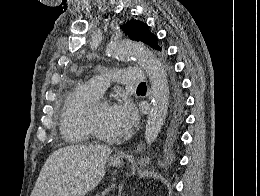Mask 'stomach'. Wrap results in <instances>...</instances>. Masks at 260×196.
<instances>
[{"label":"stomach","mask_w":260,"mask_h":196,"mask_svg":"<svg viewBox=\"0 0 260 196\" xmlns=\"http://www.w3.org/2000/svg\"><path fill=\"white\" fill-rule=\"evenodd\" d=\"M124 160H119V158H110L108 160V166H115V168H122Z\"/></svg>","instance_id":"stomach-1"}]
</instances>
